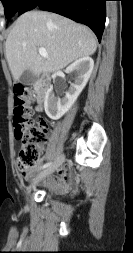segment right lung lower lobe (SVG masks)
<instances>
[{
    "instance_id": "98d812e1",
    "label": "right lung lower lobe",
    "mask_w": 133,
    "mask_h": 253,
    "mask_svg": "<svg viewBox=\"0 0 133 253\" xmlns=\"http://www.w3.org/2000/svg\"><path fill=\"white\" fill-rule=\"evenodd\" d=\"M106 0H25L18 11L23 14L35 7L66 16L89 26L99 42L105 26Z\"/></svg>"
}]
</instances>
